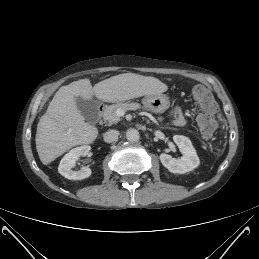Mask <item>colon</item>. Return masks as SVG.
Masks as SVG:
<instances>
[{
	"mask_svg": "<svg viewBox=\"0 0 259 259\" xmlns=\"http://www.w3.org/2000/svg\"><path fill=\"white\" fill-rule=\"evenodd\" d=\"M191 94L199 104V108L196 109L198 130L204 138H210L218 127L216 102L210 91L202 85L194 86Z\"/></svg>",
	"mask_w": 259,
	"mask_h": 259,
	"instance_id": "obj_1",
	"label": "colon"
}]
</instances>
